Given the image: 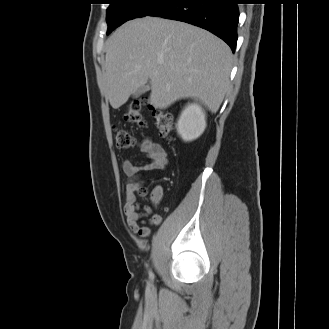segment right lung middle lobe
Instances as JSON below:
<instances>
[{"label":"right lung middle lobe","instance_id":"obj_1","mask_svg":"<svg viewBox=\"0 0 329 329\" xmlns=\"http://www.w3.org/2000/svg\"><path fill=\"white\" fill-rule=\"evenodd\" d=\"M107 34L127 20L150 15L172 0H109Z\"/></svg>","mask_w":329,"mask_h":329}]
</instances>
